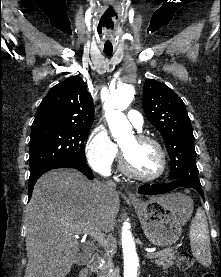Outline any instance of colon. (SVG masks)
I'll return each mask as SVG.
<instances>
[{
	"label": "colon",
	"instance_id": "colon-1",
	"mask_svg": "<svg viewBox=\"0 0 221 277\" xmlns=\"http://www.w3.org/2000/svg\"><path fill=\"white\" fill-rule=\"evenodd\" d=\"M194 258L186 251H180L176 255V265L183 270L191 269L194 266ZM199 277H216L214 273L210 271L202 272Z\"/></svg>",
	"mask_w": 221,
	"mask_h": 277
}]
</instances>
